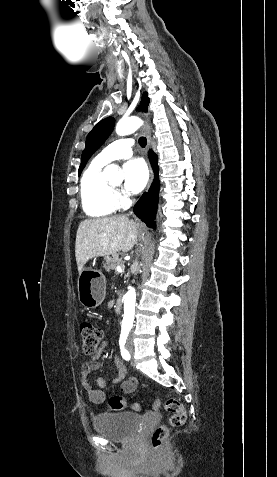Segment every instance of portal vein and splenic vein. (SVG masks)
I'll use <instances>...</instances> for the list:
<instances>
[{"label": "portal vein and splenic vein", "mask_w": 277, "mask_h": 477, "mask_svg": "<svg viewBox=\"0 0 277 477\" xmlns=\"http://www.w3.org/2000/svg\"><path fill=\"white\" fill-rule=\"evenodd\" d=\"M116 270L120 271V272L123 271L124 270V264H122V263L117 264Z\"/></svg>", "instance_id": "portal-vein-and-splenic-vein-1"}]
</instances>
